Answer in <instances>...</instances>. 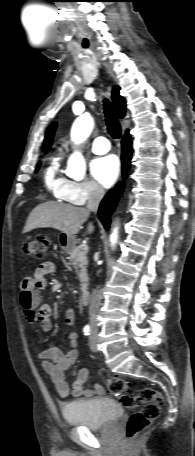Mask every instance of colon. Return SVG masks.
Instances as JSON below:
<instances>
[{
  "mask_svg": "<svg viewBox=\"0 0 195 456\" xmlns=\"http://www.w3.org/2000/svg\"><path fill=\"white\" fill-rule=\"evenodd\" d=\"M50 244V239L47 236L38 235L26 241L22 250L35 259H42L47 255ZM107 386L109 392L125 407H141L139 411L129 417L126 425L127 439H136L159 416L163 403L162 394L149 387L141 389L136 394H131L128 381L120 376L108 377Z\"/></svg>",
  "mask_w": 195,
  "mask_h": 456,
  "instance_id": "5ec220e1",
  "label": "colon"
}]
</instances>
